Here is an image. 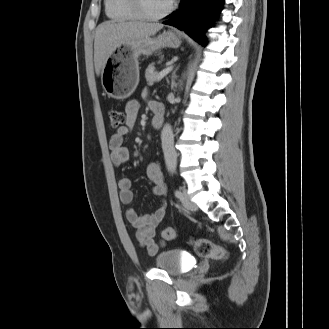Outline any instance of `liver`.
<instances>
[{"label": "liver", "instance_id": "liver-1", "mask_svg": "<svg viewBox=\"0 0 329 329\" xmlns=\"http://www.w3.org/2000/svg\"><path fill=\"white\" fill-rule=\"evenodd\" d=\"M163 27L159 23L143 22H113L101 23L95 32L94 64L97 75H100L107 59L112 55L115 47L122 42L150 37Z\"/></svg>", "mask_w": 329, "mask_h": 329}]
</instances>
